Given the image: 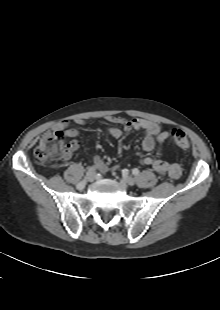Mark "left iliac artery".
Returning a JSON list of instances; mask_svg holds the SVG:
<instances>
[{
  "mask_svg": "<svg viewBox=\"0 0 220 310\" xmlns=\"http://www.w3.org/2000/svg\"><path fill=\"white\" fill-rule=\"evenodd\" d=\"M132 173H133L134 175H138V174H139V170H138L137 168H134V169L132 170Z\"/></svg>",
  "mask_w": 220,
  "mask_h": 310,
  "instance_id": "1",
  "label": "left iliac artery"
}]
</instances>
